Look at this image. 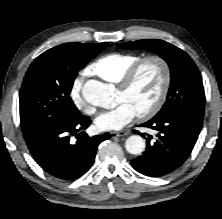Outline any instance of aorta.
<instances>
[{
  "mask_svg": "<svg viewBox=\"0 0 222 219\" xmlns=\"http://www.w3.org/2000/svg\"><path fill=\"white\" fill-rule=\"evenodd\" d=\"M82 96L87 103L102 108H110L114 103L110 85L98 80L87 81L82 88ZM125 148L130 154H141L145 150V141L139 135H132L127 138Z\"/></svg>",
  "mask_w": 222,
  "mask_h": 219,
  "instance_id": "aorta-1",
  "label": "aorta"
}]
</instances>
